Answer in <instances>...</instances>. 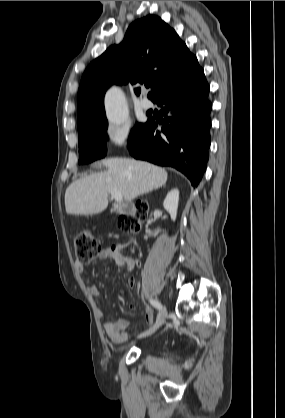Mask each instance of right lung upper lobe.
<instances>
[{
	"instance_id": "1",
	"label": "right lung upper lobe",
	"mask_w": 285,
	"mask_h": 418,
	"mask_svg": "<svg viewBox=\"0 0 285 418\" xmlns=\"http://www.w3.org/2000/svg\"><path fill=\"white\" fill-rule=\"evenodd\" d=\"M200 69L196 56L161 18L147 15L138 19L121 44L110 46L85 70L78 90L77 125L105 113L104 95L114 84L149 82V98L156 102Z\"/></svg>"
}]
</instances>
